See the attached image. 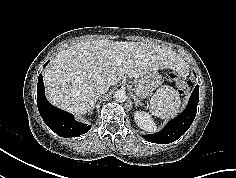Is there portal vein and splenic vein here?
I'll return each instance as SVG.
<instances>
[{
  "label": "portal vein and splenic vein",
  "mask_w": 236,
  "mask_h": 178,
  "mask_svg": "<svg viewBox=\"0 0 236 178\" xmlns=\"http://www.w3.org/2000/svg\"><path fill=\"white\" fill-rule=\"evenodd\" d=\"M115 62H116V64H121L122 63V59L121 58H117L116 60H115Z\"/></svg>",
  "instance_id": "obj_1"
}]
</instances>
